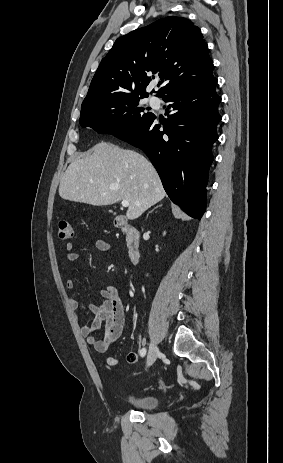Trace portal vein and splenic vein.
<instances>
[{
  "label": "portal vein and splenic vein",
  "instance_id": "obj_1",
  "mask_svg": "<svg viewBox=\"0 0 283 463\" xmlns=\"http://www.w3.org/2000/svg\"><path fill=\"white\" fill-rule=\"evenodd\" d=\"M122 206L123 207H128L129 206V201L128 200H122Z\"/></svg>",
  "mask_w": 283,
  "mask_h": 463
}]
</instances>
